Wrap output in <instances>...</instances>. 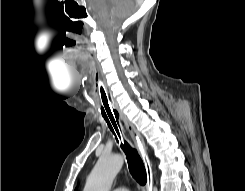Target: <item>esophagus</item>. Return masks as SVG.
<instances>
[{"instance_id": "1", "label": "esophagus", "mask_w": 245, "mask_h": 191, "mask_svg": "<svg viewBox=\"0 0 245 191\" xmlns=\"http://www.w3.org/2000/svg\"><path fill=\"white\" fill-rule=\"evenodd\" d=\"M119 114L143 160L146 169V174H147L145 189L146 191H152V185H153L152 165L148 156L147 146L145 144V141L142 135L134 127V125L128 120V118L122 112H119Z\"/></svg>"}]
</instances>
